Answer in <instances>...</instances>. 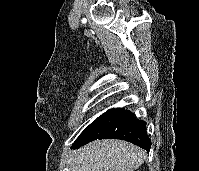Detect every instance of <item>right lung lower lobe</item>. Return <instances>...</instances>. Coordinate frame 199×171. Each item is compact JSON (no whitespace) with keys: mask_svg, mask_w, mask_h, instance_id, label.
Wrapping results in <instances>:
<instances>
[{"mask_svg":"<svg viewBox=\"0 0 199 171\" xmlns=\"http://www.w3.org/2000/svg\"><path fill=\"white\" fill-rule=\"evenodd\" d=\"M108 138L126 140L147 151L151 148L146 122L121 108L110 109L98 117L80 134L72 148L78 149L93 140Z\"/></svg>","mask_w":199,"mask_h":171,"instance_id":"obj_1","label":"right lung lower lobe"}]
</instances>
